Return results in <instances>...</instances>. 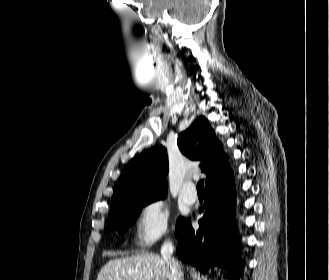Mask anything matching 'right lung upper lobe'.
I'll use <instances>...</instances> for the list:
<instances>
[{
    "label": "right lung upper lobe",
    "instance_id": "1",
    "mask_svg": "<svg viewBox=\"0 0 329 280\" xmlns=\"http://www.w3.org/2000/svg\"><path fill=\"white\" fill-rule=\"evenodd\" d=\"M177 144L188 158L202 161L200 167L206 174V184L229 168L222 144L203 116L179 135ZM167 173L168 157L164 147L155 146L137 155L125 166L116 183L110 212L128 201L166 196Z\"/></svg>",
    "mask_w": 329,
    "mask_h": 280
}]
</instances>
